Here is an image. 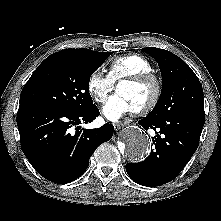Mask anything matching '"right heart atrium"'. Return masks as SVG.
<instances>
[{
	"label": "right heart atrium",
	"mask_w": 221,
	"mask_h": 221,
	"mask_svg": "<svg viewBox=\"0 0 221 221\" xmlns=\"http://www.w3.org/2000/svg\"><path fill=\"white\" fill-rule=\"evenodd\" d=\"M115 83L100 70H95L88 78L87 91L98 103H103L108 95L114 90Z\"/></svg>",
	"instance_id": "1"
}]
</instances>
